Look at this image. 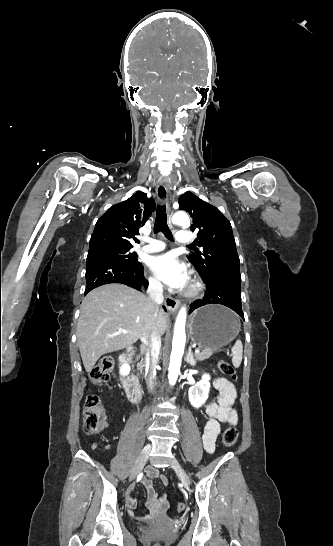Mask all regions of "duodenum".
<instances>
[{
  "instance_id": "1",
  "label": "duodenum",
  "mask_w": 333,
  "mask_h": 546,
  "mask_svg": "<svg viewBox=\"0 0 333 546\" xmlns=\"http://www.w3.org/2000/svg\"><path fill=\"white\" fill-rule=\"evenodd\" d=\"M134 350L132 348L127 349L121 356V364L123 369L129 365ZM122 382L127 396L132 402H139L143 396V389L138 380L129 372L123 371Z\"/></svg>"
}]
</instances>
